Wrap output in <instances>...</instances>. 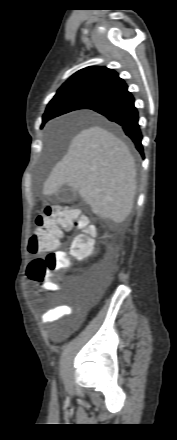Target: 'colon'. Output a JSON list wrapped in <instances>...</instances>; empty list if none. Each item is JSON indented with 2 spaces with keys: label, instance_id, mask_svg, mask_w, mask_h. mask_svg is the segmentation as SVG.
Wrapping results in <instances>:
<instances>
[{
  "label": "colon",
  "instance_id": "obj_1",
  "mask_svg": "<svg viewBox=\"0 0 177 440\" xmlns=\"http://www.w3.org/2000/svg\"><path fill=\"white\" fill-rule=\"evenodd\" d=\"M35 225L28 250L31 253H46V256L36 258L29 264L28 274L32 273L34 283H41L46 279V273L65 271L68 268L67 254L56 251L62 231L77 227L84 232L71 243L69 255L77 259H88L96 254L93 242L95 229L89 224L88 217L80 214L74 206L47 207L42 214L37 216ZM46 284L50 288L57 287L50 280Z\"/></svg>",
  "mask_w": 177,
  "mask_h": 440
}]
</instances>
